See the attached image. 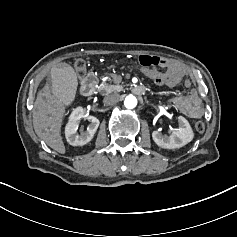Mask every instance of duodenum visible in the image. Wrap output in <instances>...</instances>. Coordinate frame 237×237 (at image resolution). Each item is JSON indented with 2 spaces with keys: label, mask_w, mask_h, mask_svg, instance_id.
<instances>
[{
  "label": "duodenum",
  "mask_w": 237,
  "mask_h": 237,
  "mask_svg": "<svg viewBox=\"0 0 237 237\" xmlns=\"http://www.w3.org/2000/svg\"><path fill=\"white\" fill-rule=\"evenodd\" d=\"M97 78L93 72L88 73L81 81V93L84 96H90L96 89ZM135 91L142 92L140 86L135 87Z\"/></svg>",
  "instance_id": "1"
}]
</instances>
